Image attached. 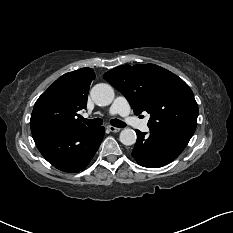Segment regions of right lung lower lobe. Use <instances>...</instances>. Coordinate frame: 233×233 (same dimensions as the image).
<instances>
[{
    "label": "right lung lower lobe",
    "instance_id": "98d812e1",
    "mask_svg": "<svg viewBox=\"0 0 233 233\" xmlns=\"http://www.w3.org/2000/svg\"><path fill=\"white\" fill-rule=\"evenodd\" d=\"M104 127L70 132L41 131L32 134L42 156L57 169L74 173L84 170L98 150Z\"/></svg>",
    "mask_w": 233,
    "mask_h": 233
}]
</instances>
